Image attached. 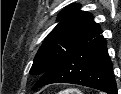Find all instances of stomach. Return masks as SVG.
<instances>
[{
    "instance_id": "obj_1",
    "label": "stomach",
    "mask_w": 121,
    "mask_h": 94,
    "mask_svg": "<svg viewBox=\"0 0 121 94\" xmlns=\"http://www.w3.org/2000/svg\"><path fill=\"white\" fill-rule=\"evenodd\" d=\"M59 94H82V92L78 89L69 88L61 91Z\"/></svg>"
}]
</instances>
